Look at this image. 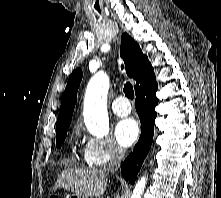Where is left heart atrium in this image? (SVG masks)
I'll return each instance as SVG.
<instances>
[{"label": "left heart atrium", "mask_w": 221, "mask_h": 198, "mask_svg": "<svg viewBox=\"0 0 221 198\" xmlns=\"http://www.w3.org/2000/svg\"><path fill=\"white\" fill-rule=\"evenodd\" d=\"M138 135V123L132 118L119 121L115 127L116 140L123 147L131 146L137 140Z\"/></svg>", "instance_id": "39dd6f15"}]
</instances>
